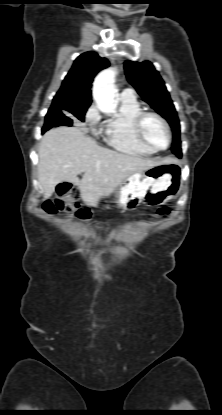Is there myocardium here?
Masks as SVG:
<instances>
[{
  "label": "myocardium",
  "instance_id": "f54148a6",
  "mask_svg": "<svg viewBox=\"0 0 222 415\" xmlns=\"http://www.w3.org/2000/svg\"><path fill=\"white\" fill-rule=\"evenodd\" d=\"M148 117H154L157 120H159L163 126L165 127V130L167 132V137H168V141L166 146L164 147H158L156 145H154L151 141H149L147 139V137L145 136L144 133V123L146 121V119ZM134 128H135V133L138 137V139L147 147L155 150V151H161V150H165L167 149L172 141V131H171V127L168 123V121L158 112L156 111H141L137 117L135 118V122H134Z\"/></svg>",
  "mask_w": 222,
  "mask_h": 415
}]
</instances>
